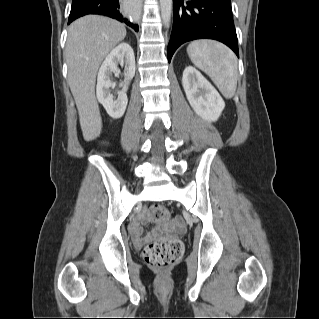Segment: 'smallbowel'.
Segmentation results:
<instances>
[{
    "label": "small bowel",
    "mask_w": 319,
    "mask_h": 319,
    "mask_svg": "<svg viewBox=\"0 0 319 319\" xmlns=\"http://www.w3.org/2000/svg\"><path fill=\"white\" fill-rule=\"evenodd\" d=\"M146 222H147V219L145 217H141V218L133 220V222L130 224L129 229H130V232L134 238H136V239L140 238L141 231H142V225ZM167 228L170 231H175V232H179V233L183 232L184 225H183L182 219L180 217L173 218L170 221ZM161 229H162L161 225L155 224L154 232L151 235H149L147 237V239H152Z\"/></svg>",
    "instance_id": "c3829d8e"
}]
</instances>
